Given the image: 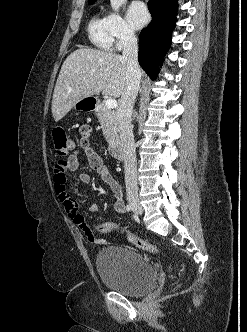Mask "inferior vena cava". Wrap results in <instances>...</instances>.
Instances as JSON below:
<instances>
[{"instance_id":"1","label":"inferior vena cava","mask_w":247,"mask_h":332,"mask_svg":"<svg viewBox=\"0 0 247 332\" xmlns=\"http://www.w3.org/2000/svg\"><path fill=\"white\" fill-rule=\"evenodd\" d=\"M122 58L127 62L128 80L126 88L121 95L117 112V123L124 156L127 198L128 200H133L138 198V186L131 116L141 79V70L138 63V43L133 31H128L124 37Z\"/></svg>"}]
</instances>
